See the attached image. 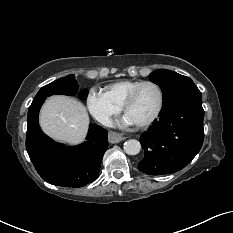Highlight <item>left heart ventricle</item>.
<instances>
[{
    "instance_id": "left-heart-ventricle-1",
    "label": "left heart ventricle",
    "mask_w": 233,
    "mask_h": 233,
    "mask_svg": "<svg viewBox=\"0 0 233 233\" xmlns=\"http://www.w3.org/2000/svg\"><path fill=\"white\" fill-rule=\"evenodd\" d=\"M159 95L157 89L152 85L141 88L135 101L129 106L127 115L135 123L142 122L149 118L158 105Z\"/></svg>"
}]
</instances>
